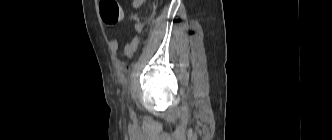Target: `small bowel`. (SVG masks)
<instances>
[{
    "mask_svg": "<svg viewBox=\"0 0 332 140\" xmlns=\"http://www.w3.org/2000/svg\"><path fill=\"white\" fill-rule=\"evenodd\" d=\"M146 0H132V7L134 9H139L145 3ZM139 45V39L137 36H134L130 41H128L124 46V54L130 58L134 55ZM109 46L112 51L118 53L119 51V42L117 39L113 38L109 41Z\"/></svg>",
    "mask_w": 332,
    "mask_h": 140,
    "instance_id": "small-bowel-1",
    "label": "small bowel"
}]
</instances>
